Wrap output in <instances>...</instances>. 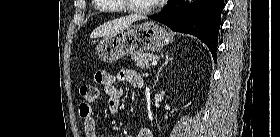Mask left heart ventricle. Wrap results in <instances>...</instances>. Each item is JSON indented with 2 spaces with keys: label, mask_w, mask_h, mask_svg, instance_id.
I'll list each match as a JSON object with an SVG mask.
<instances>
[{
  "label": "left heart ventricle",
  "mask_w": 280,
  "mask_h": 137,
  "mask_svg": "<svg viewBox=\"0 0 280 137\" xmlns=\"http://www.w3.org/2000/svg\"><path fill=\"white\" fill-rule=\"evenodd\" d=\"M130 2L132 3V5L137 6V7H148L150 5H152L155 0H130ZM154 28H158L159 26H152Z\"/></svg>",
  "instance_id": "b2bd125f"
}]
</instances>
